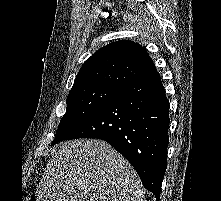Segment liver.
<instances>
[{
  "instance_id": "obj_1",
  "label": "liver",
  "mask_w": 221,
  "mask_h": 201,
  "mask_svg": "<svg viewBox=\"0 0 221 201\" xmlns=\"http://www.w3.org/2000/svg\"><path fill=\"white\" fill-rule=\"evenodd\" d=\"M42 201H143L131 164L107 142L67 141L53 150L40 183Z\"/></svg>"
}]
</instances>
